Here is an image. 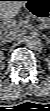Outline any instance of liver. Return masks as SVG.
I'll return each instance as SVG.
<instances>
[{
    "label": "liver",
    "mask_w": 50,
    "mask_h": 111,
    "mask_svg": "<svg viewBox=\"0 0 50 111\" xmlns=\"http://www.w3.org/2000/svg\"><path fill=\"white\" fill-rule=\"evenodd\" d=\"M24 0L15 1H1L0 2V16L1 18H13L15 17L22 6L25 5Z\"/></svg>",
    "instance_id": "1"
}]
</instances>
